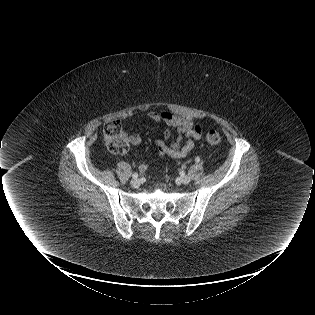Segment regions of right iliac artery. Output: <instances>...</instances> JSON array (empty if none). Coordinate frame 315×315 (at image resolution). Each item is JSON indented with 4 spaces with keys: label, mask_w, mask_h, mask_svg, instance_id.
<instances>
[{
    "label": "right iliac artery",
    "mask_w": 315,
    "mask_h": 315,
    "mask_svg": "<svg viewBox=\"0 0 315 315\" xmlns=\"http://www.w3.org/2000/svg\"><path fill=\"white\" fill-rule=\"evenodd\" d=\"M132 177H133L134 179H135V178H138V173H137V172L133 173Z\"/></svg>",
    "instance_id": "1"
}]
</instances>
